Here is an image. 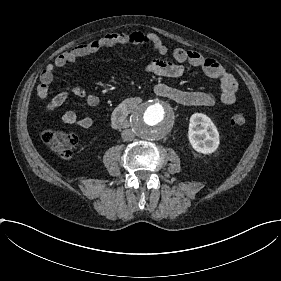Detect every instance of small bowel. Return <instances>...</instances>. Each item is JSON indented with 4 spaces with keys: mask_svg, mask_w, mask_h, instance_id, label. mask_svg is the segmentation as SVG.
<instances>
[{
    "mask_svg": "<svg viewBox=\"0 0 281 281\" xmlns=\"http://www.w3.org/2000/svg\"><path fill=\"white\" fill-rule=\"evenodd\" d=\"M119 46H144L159 54H167L169 52L168 46L160 36L138 30L124 33H108L98 39L76 45L57 57L53 64L47 66L41 73L37 97L39 102L44 106L45 111L48 113L54 112L68 98L67 91H60L50 99L49 85L56 69L62 68L67 63L73 62L82 56L105 48ZM171 55L177 64L169 61L153 60L145 66V73L169 79H177L185 74L186 65L199 68L206 75L219 81L221 86L220 100L224 105H231L235 102L238 90L236 80L216 60L206 57L197 51L186 50L180 47H176ZM154 92L182 106L212 107L216 104L215 95L206 90L182 89L166 83H158L154 87ZM73 93L79 98H84L88 105L92 107L98 104V97L83 88H76L73 90ZM60 122L64 125H75L81 128H90L94 124L91 117L78 118L73 113L63 114L60 117Z\"/></svg>",
    "mask_w": 281,
    "mask_h": 281,
    "instance_id": "1",
    "label": "small bowel"
}]
</instances>
